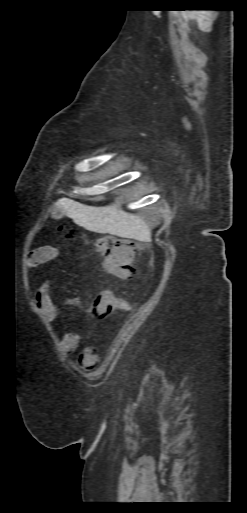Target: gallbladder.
<instances>
[{
    "mask_svg": "<svg viewBox=\"0 0 247 513\" xmlns=\"http://www.w3.org/2000/svg\"><path fill=\"white\" fill-rule=\"evenodd\" d=\"M52 216L55 219H60V218H63L65 216V213L62 210L57 209V210H53Z\"/></svg>",
    "mask_w": 247,
    "mask_h": 513,
    "instance_id": "gallbladder-1",
    "label": "gallbladder"
}]
</instances>
